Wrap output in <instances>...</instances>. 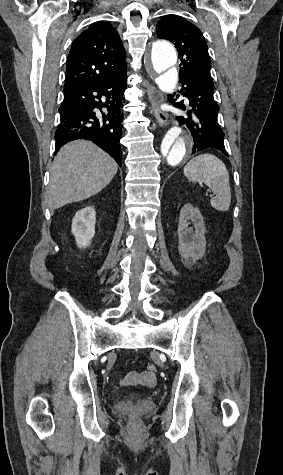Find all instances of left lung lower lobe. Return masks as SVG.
I'll return each instance as SVG.
<instances>
[{
	"label": "left lung lower lobe",
	"mask_w": 283,
	"mask_h": 475,
	"mask_svg": "<svg viewBox=\"0 0 283 475\" xmlns=\"http://www.w3.org/2000/svg\"><path fill=\"white\" fill-rule=\"evenodd\" d=\"M179 81L183 86L182 95L188 98L192 109L187 112V117L176 119L186 125L192 134V153L214 148L227 155L224 133L217 120L219 106L213 97L214 84L195 77H179Z\"/></svg>",
	"instance_id": "obj_1"
}]
</instances>
